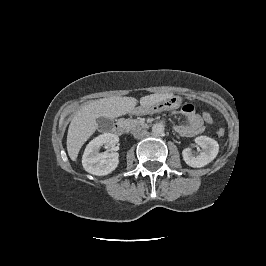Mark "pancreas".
Masks as SVG:
<instances>
[{
  "instance_id": "1",
  "label": "pancreas",
  "mask_w": 266,
  "mask_h": 266,
  "mask_svg": "<svg viewBox=\"0 0 266 266\" xmlns=\"http://www.w3.org/2000/svg\"><path fill=\"white\" fill-rule=\"evenodd\" d=\"M128 122L130 123L132 128H135L137 125H139V121L136 119L129 120Z\"/></svg>"
}]
</instances>
